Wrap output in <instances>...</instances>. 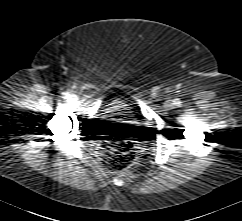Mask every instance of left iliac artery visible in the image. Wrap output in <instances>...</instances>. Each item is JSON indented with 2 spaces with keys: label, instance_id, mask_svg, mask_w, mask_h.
Wrapping results in <instances>:
<instances>
[{
  "label": "left iliac artery",
  "instance_id": "obj_1",
  "mask_svg": "<svg viewBox=\"0 0 242 221\" xmlns=\"http://www.w3.org/2000/svg\"><path fill=\"white\" fill-rule=\"evenodd\" d=\"M176 105H179L181 102L179 101V99H176V101H174Z\"/></svg>",
  "mask_w": 242,
  "mask_h": 221
}]
</instances>
